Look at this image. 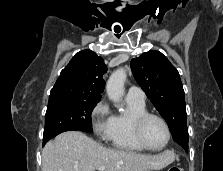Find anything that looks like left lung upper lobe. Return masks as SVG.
I'll list each match as a JSON object with an SVG mask.
<instances>
[{
	"instance_id": "5c2ea615",
	"label": "left lung upper lobe",
	"mask_w": 223,
	"mask_h": 171,
	"mask_svg": "<svg viewBox=\"0 0 223 171\" xmlns=\"http://www.w3.org/2000/svg\"><path fill=\"white\" fill-rule=\"evenodd\" d=\"M133 75L167 122L173 139L188 150L184 90L177 69L159 51H148L131 60Z\"/></svg>"
}]
</instances>
